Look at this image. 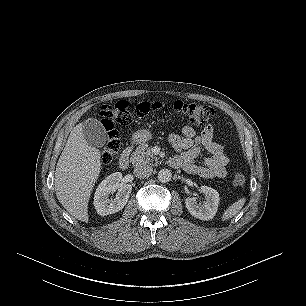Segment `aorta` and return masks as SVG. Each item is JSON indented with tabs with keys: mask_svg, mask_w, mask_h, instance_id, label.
<instances>
[{
	"mask_svg": "<svg viewBox=\"0 0 306 306\" xmlns=\"http://www.w3.org/2000/svg\"><path fill=\"white\" fill-rule=\"evenodd\" d=\"M172 173L168 169H162L158 173V180L162 183H167L171 180Z\"/></svg>",
	"mask_w": 306,
	"mask_h": 306,
	"instance_id": "1",
	"label": "aorta"
}]
</instances>
